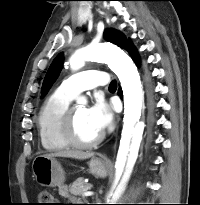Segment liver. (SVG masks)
Masks as SVG:
<instances>
[{
	"label": "liver",
	"mask_w": 200,
	"mask_h": 205,
	"mask_svg": "<svg viewBox=\"0 0 200 205\" xmlns=\"http://www.w3.org/2000/svg\"><path fill=\"white\" fill-rule=\"evenodd\" d=\"M94 154L90 152H82L77 150H63L51 154H46L47 157H68V158H75V159H88L92 157Z\"/></svg>",
	"instance_id": "1"
}]
</instances>
